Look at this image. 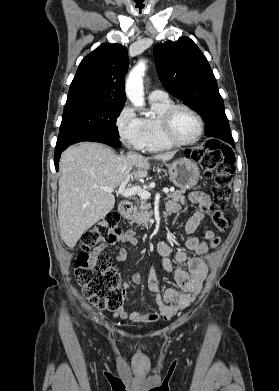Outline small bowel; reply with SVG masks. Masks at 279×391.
I'll return each instance as SVG.
<instances>
[{
    "instance_id": "obj_1",
    "label": "small bowel",
    "mask_w": 279,
    "mask_h": 391,
    "mask_svg": "<svg viewBox=\"0 0 279 391\" xmlns=\"http://www.w3.org/2000/svg\"><path fill=\"white\" fill-rule=\"evenodd\" d=\"M190 199L201 208L200 211L196 212L187 221L186 231L187 233L192 234L204 219L205 213L210 209L211 200L210 197L203 192L191 193ZM166 209L169 213H176L179 211L180 206L174 201H169L166 204ZM204 237L210 242L211 239L215 237V234L213 231L207 229L204 231ZM118 240L122 243H136L135 234L132 231L121 233ZM106 247V244L96 246L91 255L97 256L101 254ZM157 249L159 253V262L164 270L174 273L178 288L167 289L164 294L161 295V287L157 279L156 267L151 266L148 272V288L155 295V302L158 310L143 312L133 311L127 313L123 307H120L114 313L116 318L137 324H149L156 322L161 318L170 319L175 314L187 308L201 292L203 281L208 273V267L201 258V256L207 254L209 251V245L206 241H200L195 236L189 237L186 242V248L184 250H179L174 254L173 262L170 259L171 249L166 243L160 242ZM192 254H196L197 257H190ZM125 258L126 250L120 248L116 255V259L118 261H124ZM185 263L187 264V269L183 267ZM132 279L136 284L141 283V277L138 273L133 274ZM124 288H128V284H124Z\"/></svg>"
}]
</instances>
